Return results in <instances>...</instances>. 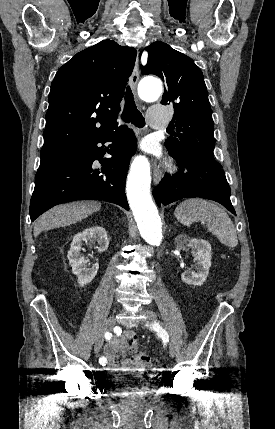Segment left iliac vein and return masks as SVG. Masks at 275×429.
Returning a JSON list of instances; mask_svg holds the SVG:
<instances>
[{"label": "left iliac vein", "mask_w": 275, "mask_h": 429, "mask_svg": "<svg viewBox=\"0 0 275 429\" xmlns=\"http://www.w3.org/2000/svg\"><path fill=\"white\" fill-rule=\"evenodd\" d=\"M142 313L145 315L149 323H155L157 321L156 314L150 310H143ZM176 355V346L171 343L170 344V356L174 357Z\"/></svg>", "instance_id": "1"}]
</instances>
